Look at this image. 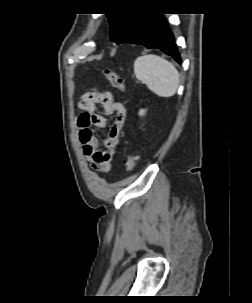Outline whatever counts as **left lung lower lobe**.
<instances>
[{
    "mask_svg": "<svg viewBox=\"0 0 252 303\" xmlns=\"http://www.w3.org/2000/svg\"><path fill=\"white\" fill-rule=\"evenodd\" d=\"M120 43L141 44L148 49L157 48L181 64L173 34L162 14H146L118 44Z\"/></svg>",
    "mask_w": 252,
    "mask_h": 303,
    "instance_id": "left-lung-lower-lobe-1",
    "label": "left lung lower lobe"
}]
</instances>
